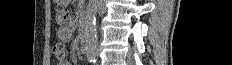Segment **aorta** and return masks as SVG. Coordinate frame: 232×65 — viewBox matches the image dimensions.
<instances>
[{"label":"aorta","mask_w":232,"mask_h":65,"mask_svg":"<svg viewBox=\"0 0 232 65\" xmlns=\"http://www.w3.org/2000/svg\"><path fill=\"white\" fill-rule=\"evenodd\" d=\"M103 0H89L85 15V48L86 55L95 58L98 49V39L96 31L97 13L102 7Z\"/></svg>","instance_id":"1"}]
</instances>
